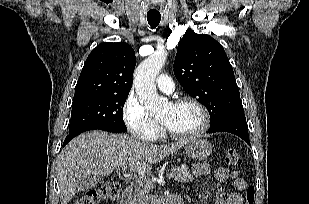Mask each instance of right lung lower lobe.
<instances>
[{
    "mask_svg": "<svg viewBox=\"0 0 309 204\" xmlns=\"http://www.w3.org/2000/svg\"><path fill=\"white\" fill-rule=\"evenodd\" d=\"M88 130H94V129H83V130L76 131V132H74V133L69 134V135L66 137V139H65V141H64V143H63V146H65V145H66L71 139H73L75 136H77V135H79V134H81V133H83V132H85V131H88Z\"/></svg>",
    "mask_w": 309,
    "mask_h": 204,
    "instance_id": "98d812e1",
    "label": "right lung lower lobe"
}]
</instances>
